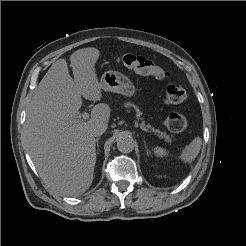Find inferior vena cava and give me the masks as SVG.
<instances>
[{"mask_svg": "<svg viewBox=\"0 0 246 246\" xmlns=\"http://www.w3.org/2000/svg\"><path fill=\"white\" fill-rule=\"evenodd\" d=\"M107 129V126L103 123L97 124L95 125L92 129H91V133L93 136L97 137L102 135Z\"/></svg>", "mask_w": 246, "mask_h": 246, "instance_id": "1", "label": "inferior vena cava"}]
</instances>
